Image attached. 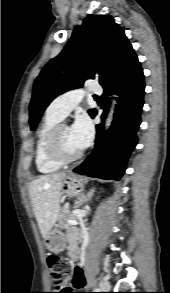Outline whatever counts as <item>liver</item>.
<instances>
[{
  "label": "liver",
  "instance_id": "1",
  "mask_svg": "<svg viewBox=\"0 0 170 293\" xmlns=\"http://www.w3.org/2000/svg\"><path fill=\"white\" fill-rule=\"evenodd\" d=\"M65 176L66 172L44 175L29 184V195L43 238L47 236L58 218Z\"/></svg>",
  "mask_w": 170,
  "mask_h": 293
}]
</instances>
